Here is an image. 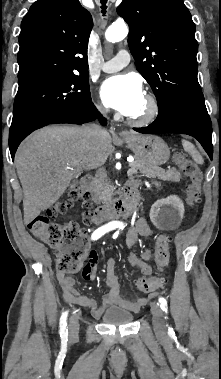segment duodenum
Masks as SVG:
<instances>
[{
	"label": "duodenum",
	"instance_id": "obj_1",
	"mask_svg": "<svg viewBox=\"0 0 221 379\" xmlns=\"http://www.w3.org/2000/svg\"><path fill=\"white\" fill-rule=\"evenodd\" d=\"M92 177L85 176L81 180V187L86 191L91 190ZM140 197L135 184H127L124 196L114 202L97 206L91 215L94 223L100 224L119 217L132 215L139 207Z\"/></svg>",
	"mask_w": 221,
	"mask_h": 379
}]
</instances>
